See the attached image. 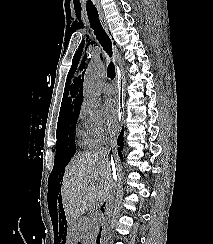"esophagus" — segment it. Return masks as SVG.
Segmentation results:
<instances>
[{
    "mask_svg": "<svg viewBox=\"0 0 213 244\" xmlns=\"http://www.w3.org/2000/svg\"><path fill=\"white\" fill-rule=\"evenodd\" d=\"M105 29L107 30L106 24H105ZM116 58H117V62H118L117 69H118V80H119L120 76H122V78L124 76V68H123V63L121 61V54L118 49H116Z\"/></svg>",
    "mask_w": 213,
    "mask_h": 244,
    "instance_id": "obj_1",
    "label": "esophagus"
}]
</instances>
